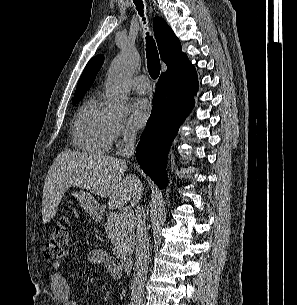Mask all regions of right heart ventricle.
<instances>
[{
  "instance_id": "e07e8e85",
  "label": "right heart ventricle",
  "mask_w": 297,
  "mask_h": 305,
  "mask_svg": "<svg viewBox=\"0 0 297 305\" xmlns=\"http://www.w3.org/2000/svg\"><path fill=\"white\" fill-rule=\"evenodd\" d=\"M111 123L112 117L98 101L89 98L74 116L72 138L75 146L89 153H108L113 142Z\"/></svg>"
}]
</instances>
